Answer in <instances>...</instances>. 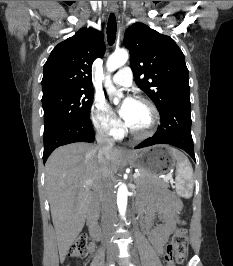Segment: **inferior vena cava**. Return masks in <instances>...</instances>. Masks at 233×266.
<instances>
[{
  "mask_svg": "<svg viewBox=\"0 0 233 266\" xmlns=\"http://www.w3.org/2000/svg\"><path fill=\"white\" fill-rule=\"evenodd\" d=\"M96 141L98 147V159L104 161L109 157L110 150L114 147V140L108 135V129H97ZM113 178L105 176L100 184L102 197V222L107 231H113L116 221V203Z\"/></svg>",
  "mask_w": 233,
  "mask_h": 266,
  "instance_id": "inferior-vena-cava-1",
  "label": "inferior vena cava"
}]
</instances>
